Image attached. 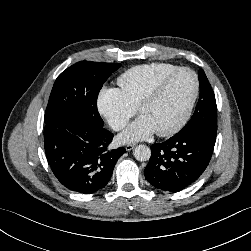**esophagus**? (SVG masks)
<instances>
[{"label": "esophagus", "instance_id": "obj_1", "mask_svg": "<svg viewBox=\"0 0 251 251\" xmlns=\"http://www.w3.org/2000/svg\"><path fill=\"white\" fill-rule=\"evenodd\" d=\"M135 147V144H127L125 146L126 151H131Z\"/></svg>", "mask_w": 251, "mask_h": 251}]
</instances>
